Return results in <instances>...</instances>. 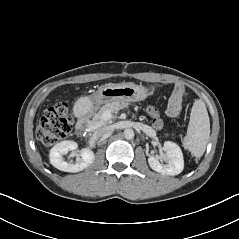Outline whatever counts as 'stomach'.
Segmentation results:
<instances>
[{
    "mask_svg": "<svg viewBox=\"0 0 239 239\" xmlns=\"http://www.w3.org/2000/svg\"><path fill=\"white\" fill-rule=\"evenodd\" d=\"M148 95L149 91L146 87L129 82L104 85L92 94L91 99L96 106H100L114 101L123 103L142 101Z\"/></svg>",
    "mask_w": 239,
    "mask_h": 239,
    "instance_id": "1",
    "label": "stomach"
}]
</instances>
